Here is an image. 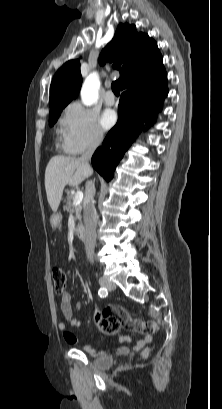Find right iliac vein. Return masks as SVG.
I'll return each instance as SVG.
<instances>
[{
  "label": "right iliac vein",
  "mask_w": 222,
  "mask_h": 409,
  "mask_svg": "<svg viewBox=\"0 0 222 409\" xmlns=\"http://www.w3.org/2000/svg\"><path fill=\"white\" fill-rule=\"evenodd\" d=\"M99 283L102 287L108 289V290H114L116 288L115 283H113L112 281L108 280L107 278H100L99 279Z\"/></svg>",
  "instance_id": "right-iliac-vein-1"
}]
</instances>
